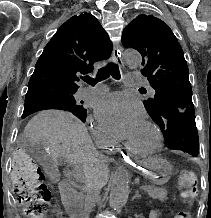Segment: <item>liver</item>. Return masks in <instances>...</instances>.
<instances>
[{"label": "liver", "instance_id": "1", "mask_svg": "<svg viewBox=\"0 0 211 218\" xmlns=\"http://www.w3.org/2000/svg\"><path fill=\"white\" fill-rule=\"evenodd\" d=\"M24 134L30 142L48 148L55 162L62 156L69 164L82 166L83 172H91L106 184L109 176L107 160L96 152L85 124L70 112H39L25 126Z\"/></svg>", "mask_w": 211, "mask_h": 218}]
</instances>
